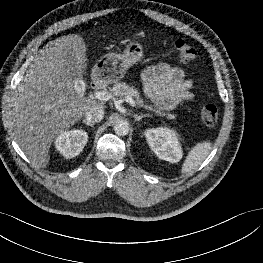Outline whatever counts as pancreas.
<instances>
[{"label": "pancreas", "mask_w": 263, "mask_h": 263, "mask_svg": "<svg viewBox=\"0 0 263 263\" xmlns=\"http://www.w3.org/2000/svg\"><path fill=\"white\" fill-rule=\"evenodd\" d=\"M111 92L113 95H115L117 97H126L127 95L134 97V98H136L137 103L139 105L145 106V108L152 109L151 106L144 105V102L141 99L140 94L136 88H134L133 86H130L124 82H115L113 88L111 89ZM154 111L160 116L167 115L164 112H161V110H159V109H154ZM167 116L169 119H175V115L168 114Z\"/></svg>", "instance_id": "1"}]
</instances>
